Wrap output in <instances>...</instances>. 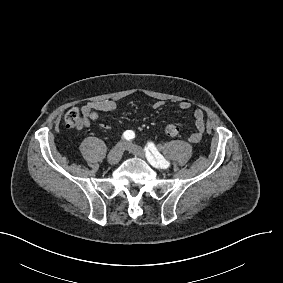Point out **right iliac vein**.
I'll list each match as a JSON object with an SVG mask.
<instances>
[{
  "instance_id": "63e3f726",
  "label": "right iliac vein",
  "mask_w": 283,
  "mask_h": 283,
  "mask_svg": "<svg viewBox=\"0 0 283 283\" xmlns=\"http://www.w3.org/2000/svg\"><path fill=\"white\" fill-rule=\"evenodd\" d=\"M123 150H124V145L122 144H118L117 146H115L108 154L107 156V161L110 165H115L117 164L123 154Z\"/></svg>"
}]
</instances>
